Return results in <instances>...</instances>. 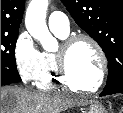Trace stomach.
I'll return each mask as SVG.
<instances>
[{
	"instance_id": "obj_1",
	"label": "stomach",
	"mask_w": 123,
	"mask_h": 113,
	"mask_svg": "<svg viewBox=\"0 0 123 113\" xmlns=\"http://www.w3.org/2000/svg\"><path fill=\"white\" fill-rule=\"evenodd\" d=\"M85 113H106L104 106L98 101H92Z\"/></svg>"
}]
</instances>
